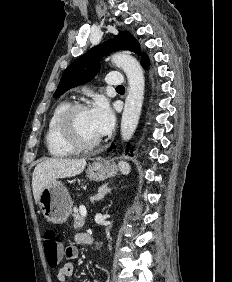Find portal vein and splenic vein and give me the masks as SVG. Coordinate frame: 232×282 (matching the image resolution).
I'll use <instances>...</instances> for the list:
<instances>
[{
	"label": "portal vein and splenic vein",
	"mask_w": 232,
	"mask_h": 282,
	"mask_svg": "<svg viewBox=\"0 0 232 282\" xmlns=\"http://www.w3.org/2000/svg\"><path fill=\"white\" fill-rule=\"evenodd\" d=\"M80 213L83 217H86L87 216V210L84 206H81L80 207Z\"/></svg>",
	"instance_id": "obj_1"
}]
</instances>
